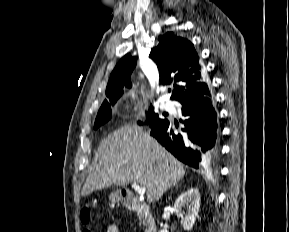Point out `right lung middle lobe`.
<instances>
[{
    "label": "right lung middle lobe",
    "mask_w": 289,
    "mask_h": 232,
    "mask_svg": "<svg viewBox=\"0 0 289 232\" xmlns=\"http://www.w3.org/2000/svg\"><path fill=\"white\" fill-rule=\"evenodd\" d=\"M118 98L119 97H114L109 99L110 100L109 102L108 101L104 102V104L98 111L94 124V129H97L99 126H101L102 124L111 119L112 116L111 106H113L116 103ZM147 119L149 120L150 127H155L164 121V119L159 118L158 114L154 113L152 107L150 108V111L147 113ZM138 124H141V122H138Z\"/></svg>",
    "instance_id": "obj_1"
}]
</instances>
